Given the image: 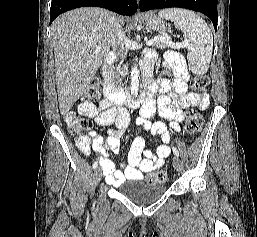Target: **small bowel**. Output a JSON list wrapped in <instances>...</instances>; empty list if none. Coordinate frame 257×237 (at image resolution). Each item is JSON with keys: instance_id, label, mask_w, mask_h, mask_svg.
<instances>
[{"instance_id": "1", "label": "small bowel", "mask_w": 257, "mask_h": 237, "mask_svg": "<svg viewBox=\"0 0 257 237\" xmlns=\"http://www.w3.org/2000/svg\"><path fill=\"white\" fill-rule=\"evenodd\" d=\"M167 62L173 67L175 78H162L150 83L149 95L140 108L138 124H143L145 129L152 135L161 137L162 145L157 149L156 154H152L145 148L142 137L134 139L128 153L127 162L122 163L121 169H116L114 163L108 158L110 152L117 153L120 146V136L127 128L130 121V114L127 108L115 106L113 102L103 98L98 104L88 101H81L78 104V112L86 117L92 118L99 126L115 125L116 129L108 131V137L103 138L95 132L89 136L79 137L77 146L79 150L89 155L93 150L98 155V160L107 183L118 186L125 180H140L144 173H150L161 168L170 154L168 146L170 141V131H180V123L185 119V109L198 107L205 109L209 105L207 94H197L188 92L187 81L188 72L182 59L173 52L166 54ZM145 66L152 74L150 58ZM159 93L158 97L155 95ZM158 113L168 121H153V117Z\"/></svg>"}]
</instances>
